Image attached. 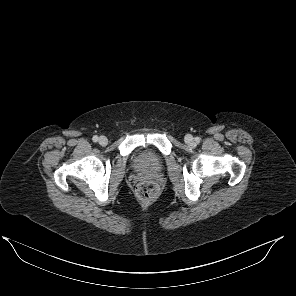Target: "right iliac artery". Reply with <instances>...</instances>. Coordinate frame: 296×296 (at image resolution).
Here are the masks:
<instances>
[{
    "label": "right iliac artery",
    "mask_w": 296,
    "mask_h": 296,
    "mask_svg": "<svg viewBox=\"0 0 296 296\" xmlns=\"http://www.w3.org/2000/svg\"><path fill=\"white\" fill-rule=\"evenodd\" d=\"M98 136L97 135H95V136H93V138H92V140L94 141V142H97L98 141Z\"/></svg>",
    "instance_id": "1"
}]
</instances>
